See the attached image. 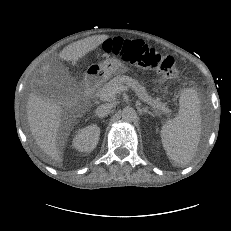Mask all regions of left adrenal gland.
I'll return each instance as SVG.
<instances>
[{"label":"left adrenal gland","mask_w":231,"mask_h":231,"mask_svg":"<svg viewBox=\"0 0 231 231\" xmlns=\"http://www.w3.org/2000/svg\"><path fill=\"white\" fill-rule=\"evenodd\" d=\"M140 113H141V114L148 113V114L151 115L152 117L155 116L152 112H150V111L148 110L147 107L140 109Z\"/></svg>","instance_id":"obj_1"}]
</instances>
